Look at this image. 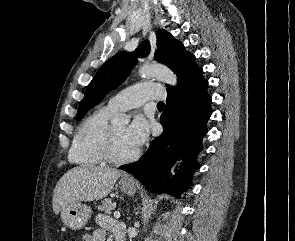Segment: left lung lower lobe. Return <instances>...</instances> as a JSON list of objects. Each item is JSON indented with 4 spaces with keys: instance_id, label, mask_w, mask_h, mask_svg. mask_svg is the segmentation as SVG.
I'll return each instance as SVG.
<instances>
[{
    "instance_id": "left-lung-lower-lobe-1",
    "label": "left lung lower lobe",
    "mask_w": 295,
    "mask_h": 241,
    "mask_svg": "<svg viewBox=\"0 0 295 241\" xmlns=\"http://www.w3.org/2000/svg\"><path fill=\"white\" fill-rule=\"evenodd\" d=\"M202 72L181 89L167 91V104L160 116L163 133L138 161L119 167L133 174L151 192L181 198L199 168L197 156L212 113L208 81Z\"/></svg>"
}]
</instances>
